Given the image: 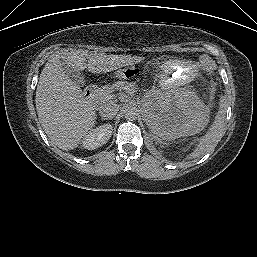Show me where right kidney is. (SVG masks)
<instances>
[{
	"label": "right kidney",
	"mask_w": 257,
	"mask_h": 257,
	"mask_svg": "<svg viewBox=\"0 0 257 257\" xmlns=\"http://www.w3.org/2000/svg\"><path fill=\"white\" fill-rule=\"evenodd\" d=\"M112 125L104 124L92 129L83 139L82 146L88 150H94L107 143L112 135Z\"/></svg>",
	"instance_id": "1"
}]
</instances>
